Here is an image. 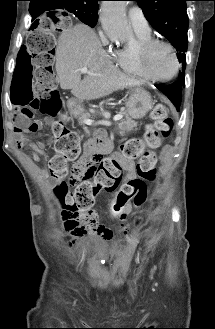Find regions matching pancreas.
<instances>
[{
	"label": "pancreas",
	"instance_id": "1",
	"mask_svg": "<svg viewBox=\"0 0 215 329\" xmlns=\"http://www.w3.org/2000/svg\"><path fill=\"white\" fill-rule=\"evenodd\" d=\"M121 114L125 115L124 112H121ZM91 115L89 113H80L77 115L78 123L79 125L84 124L85 119H89ZM137 122L129 118L127 115L125 119L121 120L120 123L118 124L119 132L120 134H125L127 132L133 131L134 129L136 130Z\"/></svg>",
	"mask_w": 215,
	"mask_h": 329
}]
</instances>
